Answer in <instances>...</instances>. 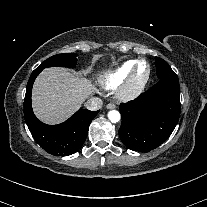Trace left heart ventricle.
I'll return each instance as SVG.
<instances>
[{
  "mask_svg": "<svg viewBox=\"0 0 207 207\" xmlns=\"http://www.w3.org/2000/svg\"><path fill=\"white\" fill-rule=\"evenodd\" d=\"M146 73V66L144 64H141L137 67V70H136V76L138 78H142Z\"/></svg>",
  "mask_w": 207,
  "mask_h": 207,
  "instance_id": "obj_1",
  "label": "left heart ventricle"
}]
</instances>
